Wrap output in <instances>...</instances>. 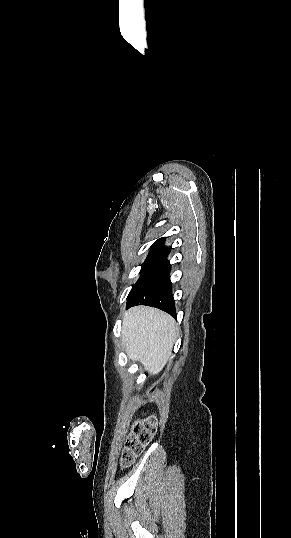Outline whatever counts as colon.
Segmentation results:
<instances>
[{"label": "colon", "instance_id": "obj_1", "mask_svg": "<svg viewBox=\"0 0 291 538\" xmlns=\"http://www.w3.org/2000/svg\"><path fill=\"white\" fill-rule=\"evenodd\" d=\"M158 425L157 418L150 415L137 421L128 437L127 444L122 452L121 463L130 465L151 441Z\"/></svg>", "mask_w": 291, "mask_h": 538}]
</instances>
